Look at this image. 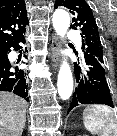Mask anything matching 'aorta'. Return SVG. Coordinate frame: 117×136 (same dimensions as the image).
Here are the masks:
<instances>
[{
  "label": "aorta",
  "instance_id": "762f6f07",
  "mask_svg": "<svg viewBox=\"0 0 117 136\" xmlns=\"http://www.w3.org/2000/svg\"><path fill=\"white\" fill-rule=\"evenodd\" d=\"M53 27L60 37H64L70 26V16L67 11L57 9L53 14ZM58 94L62 100H68L73 91V77L69 64L63 61L57 80Z\"/></svg>",
  "mask_w": 117,
  "mask_h": 136
}]
</instances>
